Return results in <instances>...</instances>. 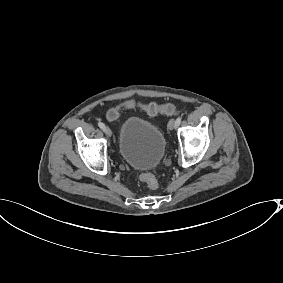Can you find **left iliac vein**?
Instances as JSON below:
<instances>
[{
	"instance_id": "1",
	"label": "left iliac vein",
	"mask_w": 283,
	"mask_h": 283,
	"mask_svg": "<svg viewBox=\"0 0 283 283\" xmlns=\"http://www.w3.org/2000/svg\"><path fill=\"white\" fill-rule=\"evenodd\" d=\"M175 125H176V121L174 119H171L169 122H168V128L170 130H173L175 128Z\"/></svg>"
}]
</instances>
